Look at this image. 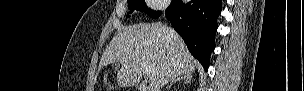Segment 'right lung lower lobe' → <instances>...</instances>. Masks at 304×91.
I'll list each match as a JSON object with an SVG mask.
<instances>
[{
	"label": "right lung lower lobe",
	"instance_id": "1",
	"mask_svg": "<svg viewBox=\"0 0 304 91\" xmlns=\"http://www.w3.org/2000/svg\"><path fill=\"white\" fill-rule=\"evenodd\" d=\"M220 12L221 0H192L188 3L173 0L166 9L173 28L206 71L215 47L217 17Z\"/></svg>",
	"mask_w": 304,
	"mask_h": 91
}]
</instances>
